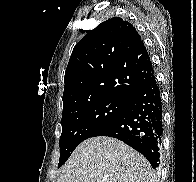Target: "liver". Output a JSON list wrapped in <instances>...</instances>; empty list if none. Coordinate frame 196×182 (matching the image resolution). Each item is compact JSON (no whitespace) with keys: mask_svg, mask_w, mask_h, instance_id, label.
I'll list each match as a JSON object with an SVG mask.
<instances>
[{"mask_svg":"<svg viewBox=\"0 0 196 182\" xmlns=\"http://www.w3.org/2000/svg\"><path fill=\"white\" fill-rule=\"evenodd\" d=\"M57 182H157L143 155L111 137L80 143L64 165Z\"/></svg>","mask_w":196,"mask_h":182,"instance_id":"liver-1","label":"liver"}]
</instances>
